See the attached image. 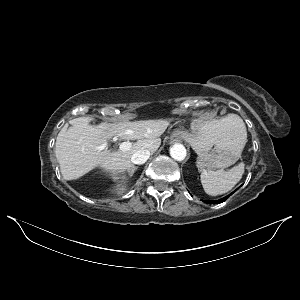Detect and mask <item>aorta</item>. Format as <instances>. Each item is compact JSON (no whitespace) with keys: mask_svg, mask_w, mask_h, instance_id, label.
<instances>
[{"mask_svg":"<svg viewBox=\"0 0 300 300\" xmlns=\"http://www.w3.org/2000/svg\"><path fill=\"white\" fill-rule=\"evenodd\" d=\"M186 148L179 143L170 147V156L176 161H183L186 157Z\"/></svg>","mask_w":300,"mask_h":300,"instance_id":"762f6f07","label":"aorta"}]
</instances>
